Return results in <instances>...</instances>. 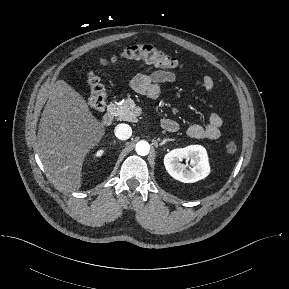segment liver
Returning a JSON list of instances; mask_svg holds the SVG:
<instances>
[{"label": "liver", "instance_id": "1", "mask_svg": "<svg viewBox=\"0 0 289 289\" xmlns=\"http://www.w3.org/2000/svg\"><path fill=\"white\" fill-rule=\"evenodd\" d=\"M105 134L85 99L63 80L51 88L38 128V153L53 184L61 191L82 186V166Z\"/></svg>", "mask_w": 289, "mask_h": 289}]
</instances>
